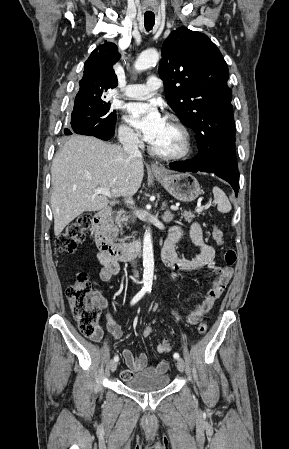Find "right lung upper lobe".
<instances>
[{
  "instance_id": "obj_1",
  "label": "right lung upper lobe",
  "mask_w": 289,
  "mask_h": 449,
  "mask_svg": "<svg viewBox=\"0 0 289 449\" xmlns=\"http://www.w3.org/2000/svg\"><path fill=\"white\" fill-rule=\"evenodd\" d=\"M120 59L118 48L114 43L105 41L98 46L85 62L83 78L80 80L78 93H91L108 90L117 85L113 65Z\"/></svg>"
}]
</instances>
